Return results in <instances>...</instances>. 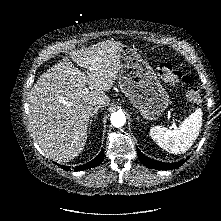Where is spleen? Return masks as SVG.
I'll use <instances>...</instances> for the list:
<instances>
[{
	"label": "spleen",
	"instance_id": "1",
	"mask_svg": "<svg viewBox=\"0 0 221 221\" xmlns=\"http://www.w3.org/2000/svg\"><path fill=\"white\" fill-rule=\"evenodd\" d=\"M202 126V111L196 109L176 129L155 126L150 129V136L158 146L171 153H184L194 143Z\"/></svg>",
	"mask_w": 221,
	"mask_h": 221
}]
</instances>
